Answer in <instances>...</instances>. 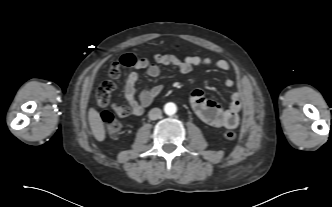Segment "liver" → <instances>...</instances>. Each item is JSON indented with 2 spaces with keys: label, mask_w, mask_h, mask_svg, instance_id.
<instances>
[{
  "label": "liver",
  "mask_w": 332,
  "mask_h": 207,
  "mask_svg": "<svg viewBox=\"0 0 332 207\" xmlns=\"http://www.w3.org/2000/svg\"><path fill=\"white\" fill-rule=\"evenodd\" d=\"M88 120L95 139L100 142L104 141L105 128L100 113L97 112L94 108H90L88 112Z\"/></svg>",
  "instance_id": "obj_1"
}]
</instances>
